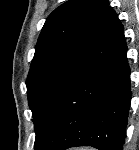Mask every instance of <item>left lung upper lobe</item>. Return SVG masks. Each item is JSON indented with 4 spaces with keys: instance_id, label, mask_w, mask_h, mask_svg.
<instances>
[{
    "instance_id": "5c2ea615",
    "label": "left lung upper lobe",
    "mask_w": 139,
    "mask_h": 150,
    "mask_svg": "<svg viewBox=\"0 0 139 150\" xmlns=\"http://www.w3.org/2000/svg\"><path fill=\"white\" fill-rule=\"evenodd\" d=\"M110 9L107 0H69L46 19L26 80L35 142L46 126L54 99L90 46Z\"/></svg>"
}]
</instances>
